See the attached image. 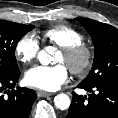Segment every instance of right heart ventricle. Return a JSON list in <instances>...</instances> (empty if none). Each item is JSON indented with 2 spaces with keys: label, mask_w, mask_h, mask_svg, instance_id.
<instances>
[{
  "label": "right heart ventricle",
  "mask_w": 118,
  "mask_h": 118,
  "mask_svg": "<svg viewBox=\"0 0 118 118\" xmlns=\"http://www.w3.org/2000/svg\"><path fill=\"white\" fill-rule=\"evenodd\" d=\"M44 42L64 47L72 44L81 43L83 35L79 30L65 24L53 25L41 33Z\"/></svg>",
  "instance_id": "obj_1"
}]
</instances>
